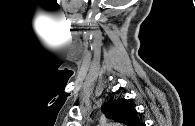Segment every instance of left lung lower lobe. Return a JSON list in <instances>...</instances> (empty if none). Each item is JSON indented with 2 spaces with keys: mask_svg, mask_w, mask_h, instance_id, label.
<instances>
[{
  "mask_svg": "<svg viewBox=\"0 0 195 126\" xmlns=\"http://www.w3.org/2000/svg\"><path fill=\"white\" fill-rule=\"evenodd\" d=\"M139 126H146L145 124L141 123Z\"/></svg>",
  "mask_w": 195,
  "mask_h": 126,
  "instance_id": "0a47b994",
  "label": "left lung lower lobe"
}]
</instances>
